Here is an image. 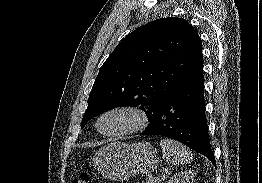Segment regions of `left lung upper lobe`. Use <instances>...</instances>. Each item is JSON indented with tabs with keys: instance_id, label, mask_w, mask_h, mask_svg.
I'll use <instances>...</instances> for the list:
<instances>
[{
	"instance_id": "obj_1",
	"label": "left lung upper lobe",
	"mask_w": 262,
	"mask_h": 183,
	"mask_svg": "<svg viewBox=\"0 0 262 183\" xmlns=\"http://www.w3.org/2000/svg\"><path fill=\"white\" fill-rule=\"evenodd\" d=\"M201 55L199 35L184 19L161 18L134 30L100 68L82 127L94 116L120 106H139L151 122Z\"/></svg>"
}]
</instances>
